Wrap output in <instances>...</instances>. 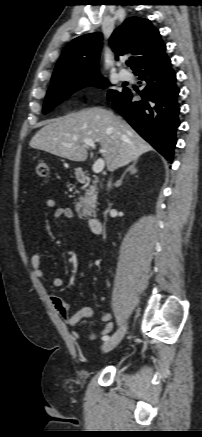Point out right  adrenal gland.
<instances>
[{
	"label": "right adrenal gland",
	"mask_w": 202,
	"mask_h": 437,
	"mask_svg": "<svg viewBox=\"0 0 202 437\" xmlns=\"http://www.w3.org/2000/svg\"><path fill=\"white\" fill-rule=\"evenodd\" d=\"M136 164H137V161H134L127 169H126V171L123 173V175L121 176V178L115 183V186L116 187H119V186H121V184H122V180H123V178H124V176L126 175V173L127 172H130L131 174H135V173H137V169H136Z\"/></svg>",
	"instance_id": "2a0ac1e0"
}]
</instances>
